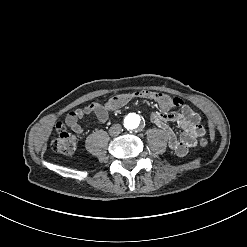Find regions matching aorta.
I'll return each instance as SVG.
<instances>
[{
  "instance_id": "obj_1",
  "label": "aorta",
  "mask_w": 247,
  "mask_h": 247,
  "mask_svg": "<svg viewBox=\"0 0 247 247\" xmlns=\"http://www.w3.org/2000/svg\"><path fill=\"white\" fill-rule=\"evenodd\" d=\"M139 123H140V117L138 115H131L125 121L126 127L128 129L137 128L139 126Z\"/></svg>"
}]
</instances>
